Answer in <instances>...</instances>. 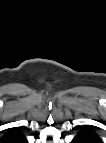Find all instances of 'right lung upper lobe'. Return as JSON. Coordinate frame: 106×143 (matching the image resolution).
<instances>
[{
  "label": "right lung upper lobe",
  "mask_w": 106,
  "mask_h": 143,
  "mask_svg": "<svg viewBox=\"0 0 106 143\" xmlns=\"http://www.w3.org/2000/svg\"><path fill=\"white\" fill-rule=\"evenodd\" d=\"M24 139L23 134L18 127L9 129L7 133L1 138L2 143H20Z\"/></svg>",
  "instance_id": "right-lung-upper-lobe-1"
}]
</instances>
